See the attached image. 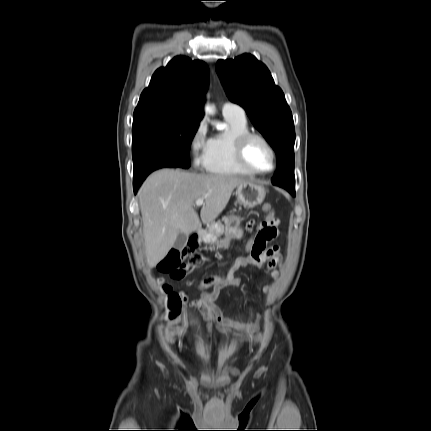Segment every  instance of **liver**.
<instances>
[{"mask_svg": "<svg viewBox=\"0 0 431 431\" xmlns=\"http://www.w3.org/2000/svg\"><path fill=\"white\" fill-rule=\"evenodd\" d=\"M245 182L234 175L173 169L152 173L138 193L148 266L153 268L165 258L179 233L188 235L201 227L194 210L197 199L204 200L202 223L210 224L225 209L233 190Z\"/></svg>", "mask_w": 431, "mask_h": 431, "instance_id": "1", "label": "liver"}]
</instances>
